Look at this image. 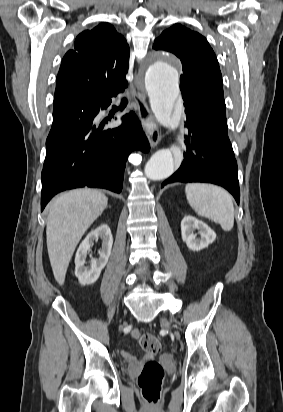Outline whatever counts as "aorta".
<instances>
[{
	"label": "aorta",
	"instance_id": "aorta-1",
	"mask_svg": "<svg viewBox=\"0 0 283 412\" xmlns=\"http://www.w3.org/2000/svg\"><path fill=\"white\" fill-rule=\"evenodd\" d=\"M145 87L152 112L159 123L170 127L175 121V107L180 96L179 74L164 54H159L148 66ZM175 159L170 149L155 152L145 166L152 180H163L173 174Z\"/></svg>",
	"mask_w": 283,
	"mask_h": 412
}]
</instances>
